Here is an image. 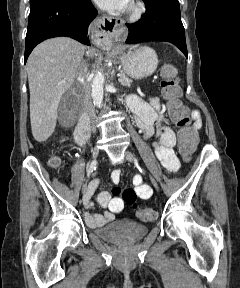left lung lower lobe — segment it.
<instances>
[{
    "mask_svg": "<svg viewBox=\"0 0 240 288\" xmlns=\"http://www.w3.org/2000/svg\"><path fill=\"white\" fill-rule=\"evenodd\" d=\"M146 13L129 29L127 44L143 41H167L176 45L188 57L184 27L178 0H143Z\"/></svg>",
    "mask_w": 240,
    "mask_h": 288,
    "instance_id": "left-lung-lower-lobe-1",
    "label": "left lung lower lobe"
}]
</instances>
